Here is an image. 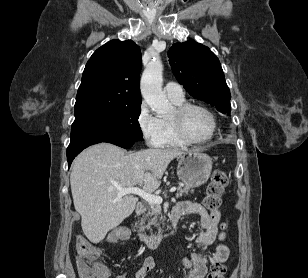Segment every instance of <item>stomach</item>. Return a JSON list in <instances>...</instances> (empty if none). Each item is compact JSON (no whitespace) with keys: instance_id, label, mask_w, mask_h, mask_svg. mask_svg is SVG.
I'll return each instance as SVG.
<instances>
[{"instance_id":"obj_1","label":"stomach","mask_w":308,"mask_h":278,"mask_svg":"<svg viewBox=\"0 0 308 278\" xmlns=\"http://www.w3.org/2000/svg\"><path fill=\"white\" fill-rule=\"evenodd\" d=\"M212 159L199 151H189L178 157L177 175L189 188L205 184L211 174Z\"/></svg>"}]
</instances>
